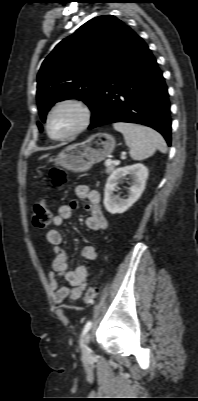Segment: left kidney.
I'll return each instance as SVG.
<instances>
[{
    "label": "left kidney",
    "instance_id": "left-kidney-1",
    "mask_svg": "<svg viewBox=\"0 0 198 401\" xmlns=\"http://www.w3.org/2000/svg\"><path fill=\"white\" fill-rule=\"evenodd\" d=\"M127 174L134 178L133 185L129 188V197L119 199L114 195L115 187L120 179ZM148 178V169L143 164L117 168L107 179L104 189V206L111 214H121L128 210L141 196Z\"/></svg>",
    "mask_w": 198,
    "mask_h": 401
}]
</instances>
